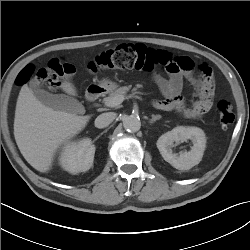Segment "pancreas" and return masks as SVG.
Returning <instances> with one entry per match:
<instances>
[{
	"mask_svg": "<svg viewBox=\"0 0 250 250\" xmlns=\"http://www.w3.org/2000/svg\"><path fill=\"white\" fill-rule=\"evenodd\" d=\"M140 87H142V86H141V85H137V87H134V88L132 89L133 95H134V94L140 93V92L138 91V88H140ZM130 89H131V86L119 87V88H117L116 90L112 91V92L109 94L108 97L104 98V99H103V102H104L105 104H107V102H108L109 100H111L112 98H114V97H116V96H119V95L125 96V95L127 94V92H128Z\"/></svg>",
	"mask_w": 250,
	"mask_h": 250,
	"instance_id": "1",
	"label": "pancreas"
}]
</instances>
